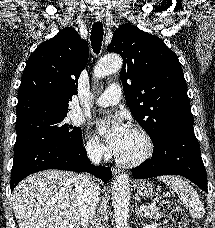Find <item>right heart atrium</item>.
Returning <instances> with one entry per match:
<instances>
[{"label":"right heart atrium","mask_w":215,"mask_h":228,"mask_svg":"<svg viewBox=\"0 0 215 228\" xmlns=\"http://www.w3.org/2000/svg\"><path fill=\"white\" fill-rule=\"evenodd\" d=\"M83 144L87 157L93 161H100L106 154V148L89 132L84 133Z\"/></svg>","instance_id":"obj_1"}]
</instances>
